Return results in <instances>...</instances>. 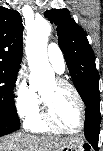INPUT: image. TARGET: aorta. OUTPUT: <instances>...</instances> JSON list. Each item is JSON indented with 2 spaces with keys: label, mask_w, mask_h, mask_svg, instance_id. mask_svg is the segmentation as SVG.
<instances>
[{
  "label": "aorta",
  "mask_w": 103,
  "mask_h": 151,
  "mask_svg": "<svg viewBox=\"0 0 103 151\" xmlns=\"http://www.w3.org/2000/svg\"><path fill=\"white\" fill-rule=\"evenodd\" d=\"M51 26L45 19L34 20L27 29L26 56L31 76L42 77L44 72H51L47 57V43Z\"/></svg>",
  "instance_id": "aorta-1"
}]
</instances>
